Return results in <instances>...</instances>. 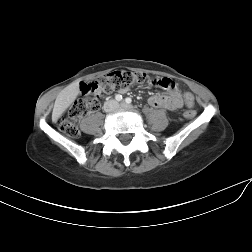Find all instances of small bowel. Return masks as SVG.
<instances>
[{"label":"small bowel","instance_id":"1","mask_svg":"<svg viewBox=\"0 0 252 252\" xmlns=\"http://www.w3.org/2000/svg\"><path fill=\"white\" fill-rule=\"evenodd\" d=\"M168 84L165 86L164 84ZM155 86L167 90V94H155L148 99L151 107L156 109L177 110L182 107L181 93L176 83L170 78H160L155 81Z\"/></svg>","mask_w":252,"mask_h":252}]
</instances>
